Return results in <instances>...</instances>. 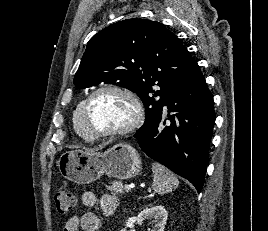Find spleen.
Returning <instances> with one entry per match:
<instances>
[{
    "label": "spleen",
    "mask_w": 268,
    "mask_h": 231,
    "mask_svg": "<svg viewBox=\"0 0 268 231\" xmlns=\"http://www.w3.org/2000/svg\"><path fill=\"white\" fill-rule=\"evenodd\" d=\"M152 172L154 177L152 188L156 193L163 195L177 188L179 184L177 177L163 165L154 162Z\"/></svg>",
    "instance_id": "obj_1"
}]
</instances>
